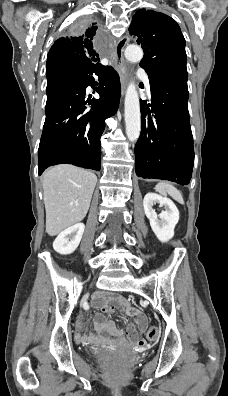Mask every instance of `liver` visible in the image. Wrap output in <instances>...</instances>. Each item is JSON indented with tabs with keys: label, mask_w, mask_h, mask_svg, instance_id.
Wrapping results in <instances>:
<instances>
[{
	"label": "liver",
	"mask_w": 228,
	"mask_h": 396,
	"mask_svg": "<svg viewBox=\"0 0 228 396\" xmlns=\"http://www.w3.org/2000/svg\"><path fill=\"white\" fill-rule=\"evenodd\" d=\"M96 182L94 173L68 164L54 166L44 173L43 199L49 236L85 218Z\"/></svg>",
	"instance_id": "liver-1"
}]
</instances>
